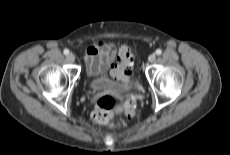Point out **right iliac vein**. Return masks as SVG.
I'll use <instances>...</instances> for the list:
<instances>
[{"label":"right iliac vein","instance_id":"1","mask_svg":"<svg viewBox=\"0 0 230 155\" xmlns=\"http://www.w3.org/2000/svg\"><path fill=\"white\" fill-rule=\"evenodd\" d=\"M66 59L68 62L72 63L75 61V56L72 53L67 54Z\"/></svg>","mask_w":230,"mask_h":155}]
</instances>
